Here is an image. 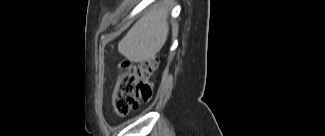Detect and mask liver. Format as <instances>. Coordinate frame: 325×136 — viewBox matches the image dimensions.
<instances>
[{
    "instance_id": "obj_1",
    "label": "liver",
    "mask_w": 325,
    "mask_h": 136,
    "mask_svg": "<svg viewBox=\"0 0 325 136\" xmlns=\"http://www.w3.org/2000/svg\"><path fill=\"white\" fill-rule=\"evenodd\" d=\"M174 5V0L159 1L118 43L119 52L133 62H144L153 58L167 40L168 13Z\"/></svg>"
}]
</instances>
